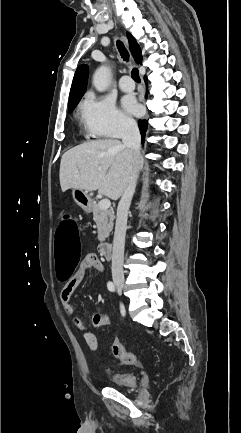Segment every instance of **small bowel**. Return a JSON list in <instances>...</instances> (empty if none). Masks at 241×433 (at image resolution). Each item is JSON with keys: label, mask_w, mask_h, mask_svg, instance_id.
<instances>
[{"label": "small bowel", "mask_w": 241, "mask_h": 433, "mask_svg": "<svg viewBox=\"0 0 241 433\" xmlns=\"http://www.w3.org/2000/svg\"><path fill=\"white\" fill-rule=\"evenodd\" d=\"M96 269L99 272H104V266L95 254L87 255L77 267L73 276L66 282L60 294V301L64 311L68 315L74 314V306L72 304V295L85 278L90 269ZM100 327L110 324V318L106 314H101ZM74 326L83 332V338L87 346L91 350H97L99 347L97 336L89 329L84 321L79 317L73 318Z\"/></svg>", "instance_id": "small-bowel-1"}]
</instances>
